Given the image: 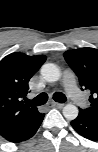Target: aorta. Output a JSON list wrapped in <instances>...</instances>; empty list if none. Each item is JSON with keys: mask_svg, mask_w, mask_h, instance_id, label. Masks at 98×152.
<instances>
[{"mask_svg": "<svg viewBox=\"0 0 98 152\" xmlns=\"http://www.w3.org/2000/svg\"><path fill=\"white\" fill-rule=\"evenodd\" d=\"M41 75L47 82H56L60 79L61 73L55 64L46 63L41 68ZM78 113V108L73 104H67L63 108V115L68 120H74Z\"/></svg>", "mask_w": 98, "mask_h": 152, "instance_id": "aorta-1", "label": "aorta"}]
</instances>
